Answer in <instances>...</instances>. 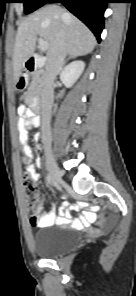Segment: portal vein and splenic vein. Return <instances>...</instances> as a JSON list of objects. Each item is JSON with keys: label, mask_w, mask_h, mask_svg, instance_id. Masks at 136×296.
I'll return each mask as SVG.
<instances>
[{"label": "portal vein and splenic vein", "mask_w": 136, "mask_h": 296, "mask_svg": "<svg viewBox=\"0 0 136 296\" xmlns=\"http://www.w3.org/2000/svg\"><path fill=\"white\" fill-rule=\"evenodd\" d=\"M38 43H39V48H40V50H41L42 52H45V51L48 50V48H49V44H48L47 41H45V40L42 39V38H39V39H38Z\"/></svg>", "instance_id": "18ae733b"}]
</instances>
